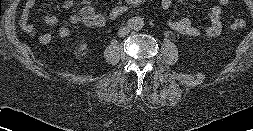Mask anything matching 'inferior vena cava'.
<instances>
[{"mask_svg":"<svg viewBox=\"0 0 253 131\" xmlns=\"http://www.w3.org/2000/svg\"><path fill=\"white\" fill-rule=\"evenodd\" d=\"M129 32H130V28L129 27H123V28L119 29L118 35L120 37H124V36L128 35Z\"/></svg>","mask_w":253,"mask_h":131,"instance_id":"obj_1","label":"inferior vena cava"}]
</instances>
